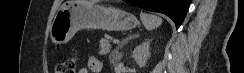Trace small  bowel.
Listing matches in <instances>:
<instances>
[{"label": "small bowel", "instance_id": "small-bowel-1", "mask_svg": "<svg viewBox=\"0 0 244 73\" xmlns=\"http://www.w3.org/2000/svg\"><path fill=\"white\" fill-rule=\"evenodd\" d=\"M102 69V62L95 57H91L88 60L87 67L81 68L78 73H101Z\"/></svg>", "mask_w": 244, "mask_h": 73}]
</instances>
